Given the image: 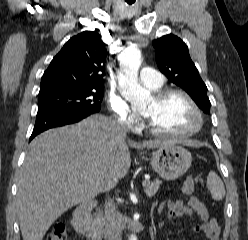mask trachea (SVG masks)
<instances>
[{
    "mask_svg": "<svg viewBox=\"0 0 248 240\" xmlns=\"http://www.w3.org/2000/svg\"><path fill=\"white\" fill-rule=\"evenodd\" d=\"M128 4H133L135 0H126Z\"/></svg>",
    "mask_w": 248,
    "mask_h": 240,
    "instance_id": "obj_1",
    "label": "trachea"
}]
</instances>
